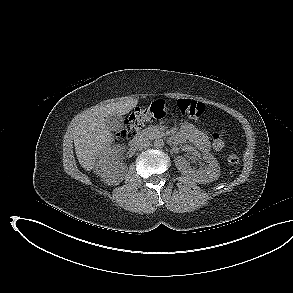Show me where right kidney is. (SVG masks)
<instances>
[{
	"instance_id": "1",
	"label": "right kidney",
	"mask_w": 293,
	"mask_h": 293,
	"mask_svg": "<svg viewBox=\"0 0 293 293\" xmlns=\"http://www.w3.org/2000/svg\"><path fill=\"white\" fill-rule=\"evenodd\" d=\"M124 169L125 165L123 163H118L116 165L111 164L103 169L101 177L108 185L117 184L120 180L119 175L124 171Z\"/></svg>"
}]
</instances>
